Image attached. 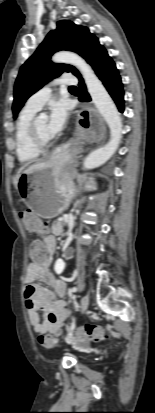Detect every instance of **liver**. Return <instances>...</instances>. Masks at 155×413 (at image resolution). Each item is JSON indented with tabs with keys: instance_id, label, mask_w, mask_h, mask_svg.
<instances>
[{
	"instance_id": "liver-1",
	"label": "liver",
	"mask_w": 155,
	"mask_h": 413,
	"mask_svg": "<svg viewBox=\"0 0 155 413\" xmlns=\"http://www.w3.org/2000/svg\"><path fill=\"white\" fill-rule=\"evenodd\" d=\"M28 165H29V163L23 165V166L18 170L17 175L15 176L14 181H13V182H14V186H15L16 189H17V184H18L19 176H20L21 172L23 171V169H24L26 166H28Z\"/></svg>"
}]
</instances>
